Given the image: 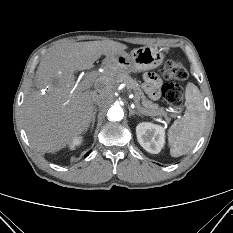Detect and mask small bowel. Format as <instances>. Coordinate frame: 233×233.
Returning a JSON list of instances; mask_svg holds the SVG:
<instances>
[{
	"label": "small bowel",
	"instance_id": "obj_1",
	"mask_svg": "<svg viewBox=\"0 0 233 233\" xmlns=\"http://www.w3.org/2000/svg\"><path fill=\"white\" fill-rule=\"evenodd\" d=\"M160 86L161 80L157 75L152 73H147L144 75L143 88L152 100L159 99Z\"/></svg>",
	"mask_w": 233,
	"mask_h": 233
}]
</instances>
